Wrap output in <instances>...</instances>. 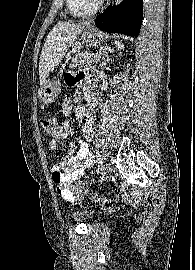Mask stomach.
<instances>
[{
    "label": "stomach",
    "mask_w": 195,
    "mask_h": 270,
    "mask_svg": "<svg viewBox=\"0 0 195 270\" xmlns=\"http://www.w3.org/2000/svg\"><path fill=\"white\" fill-rule=\"evenodd\" d=\"M83 43L87 46L96 47L104 39L103 33L93 27L85 29L81 36ZM61 92V84L57 79H47L44 85L40 88L38 96L41 102L45 105L53 103Z\"/></svg>",
    "instance_id": "1"
}]
</instances>
